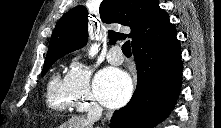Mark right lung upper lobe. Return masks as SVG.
Segmentation results:
<instances>
[{"mask_svg": "<svg viewBox=\"0 0 221 128\" xmlns=\"http://www.w3.org/2000/svg\"><path fill=\"white\" fill-rule=\"evenodd\" d=\"M100 17L105 23L129 26L128 37L133 48L161 47L176 35L174 25L157 0H103ZM87 26L88 11L84 6H76L65 13L52 33L45 61L59 59L82 48L87 43ZM108 33L112 42L127 36L112 30Z\"/></svg>", "mask_w": 221, "mask_h": 128, "instance_id": "right-lung-upper-lobe-1", "label": "right lung upper lobe"}]
</instances>
